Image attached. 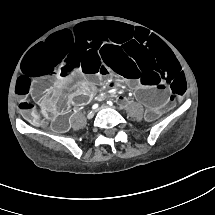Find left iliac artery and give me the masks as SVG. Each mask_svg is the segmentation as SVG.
<instances>
[{
	"label": "left iliac artery",
	"instance_id": "44dca946",
	"mask_svg": "<svg viewBox=\"0 0 215 215\" xmlns=\"http://www.w3.org/2000/svg\"><path fill=\"white\" fill-rule=\"evenodd\" d=\"M107 104H109L110 106L113 105V103L111 101H108Z\"/></svg>",
	"mask_w": 215,
	"mask_h": 215
}]
</instances>
